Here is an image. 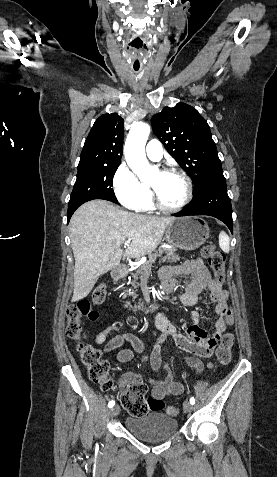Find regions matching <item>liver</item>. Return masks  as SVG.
<instances>
[{"instance_id":"liver-1","label":"liver","mask_w":277,"mask_h":477,"mask_svg":"<svg viewBox=\"0 0 277 477\" xmlns=\"http://www.w3.org/2000/svg\"><path fill=\"white\" fill-rule=\"evenodd\" d=\"M174 219L127 212L105 200L80 206L69 224L75 258L72 302L85 298L100 275L116 268L122 256L140 258L151 254ZM130 238V246L122 252L121 244Z\"/></svg>"}]
</instances>
